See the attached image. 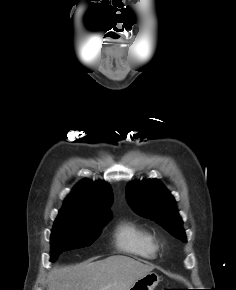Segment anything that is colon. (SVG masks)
Wrapping results in <instances>:
<instances>
[{"mask_svg": "<svg viewBox=\"0 0 236 290\" xmlns=\"http://www.w3.org/2000/svg\"><path fill=\"white\" fill-rule=\"evenodd\" d=\"M163 290H177V289H163Z\"/></svg>", "mask_w": 236, "mask_h": 290, "instance_id": "colon-1", "label": "colon"}]
</instances>
